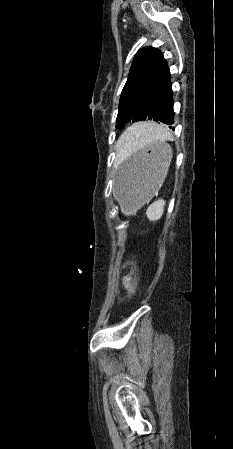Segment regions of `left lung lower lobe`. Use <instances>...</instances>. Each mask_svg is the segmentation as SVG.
<instances>
[{"mask_svg": "<svg viewBox=\"0 0 233 449\" xmlns=\"http://www.w3.org/2000/svg\"><path fill=\"white\" fill-rule=\"evenodd\" d=\"M147 114V120L160 121L170 125L171 128V125L174 124L173 91L171 82L157 95L148 108Z\"/></svg>", "mask_w": 233, "mask_h": 449, "instance_id": "obj_1", "label": "left lung lower lobe"}]
</instances>
